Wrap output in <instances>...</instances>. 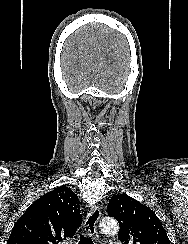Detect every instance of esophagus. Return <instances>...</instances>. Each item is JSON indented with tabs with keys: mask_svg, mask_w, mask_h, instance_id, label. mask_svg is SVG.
Here are the masks:
<instances>
[{
	"mask_svg": "<svg viewBox=\"0 0 188 244\" xmlns=\"http://www.w3.org/2000/svg\"><path fill=\"white\" fill-rule=\"evenodd\" d=\"M101 216V207L100 205L93 206L83 224V230L87 236H90L94 239H98L97 232V223Z\"/></svg>",
	"mask_w": 188,
	"mask_h": 244,
	"instance_id": "obj_1",
	"label": "esophagus"
}]
</instances>
